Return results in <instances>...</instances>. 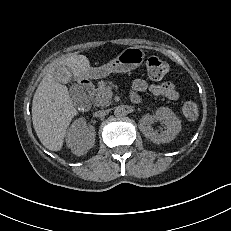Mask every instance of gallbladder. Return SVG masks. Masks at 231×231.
Wrapping results in <instances>:
<instances>
[{
  "instance_id": "gallbladder-1",
  "label": "gallbladder",
  "mask_w": 231,
  "mask_h": 231,
  "mask_svg": "<svg viewBox=\"0 0 231 231\" xmlns=\"http://www.w3.org/2000/svg\"><path fill=\"white\" fill-rule=\"evenodd\" d=\"M55 77L57 81L64 82V83H69L72 80L70 69L65 67L58 68V70H56L55 72Z\"/></svg>"
}]
</instances>
